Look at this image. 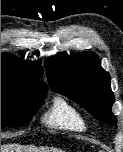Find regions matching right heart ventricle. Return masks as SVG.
Wrapping results in <instances>:
<instances>
[{"label":"right heart ventricle","mask_w":123,"mask_h":152,"mask_svg":"<svg viewBox=\"0 0 123 152\" xmlns=\"http://www.w3.org/2000/svg\"><path fill=\"white\" fill-rule=\"evenodd\" d=\"M43 122L51 128L75 133L86 132L89 127L84 114L62 97L54 98Z\"/></svg>","instance_id":"e07e8e85"}]
</instances>
